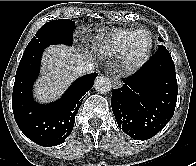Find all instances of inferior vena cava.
Here are the masks:
<instances>
[{
	"instance_id": "1",
	"label": "inferior vena cava",
	"mask_w": 196,
	"mask_h": 166,
	"mask_svg": "<svg viewBox=\"0 0 196 166\" xmlns=\"http://www.w3.org/2000/svg\"><path fill=\"white\" fill-rule=\"evenodd\" d=\"M94 64L88 61L81 62L74 70L78 75L88 74L93 72Z\"/></svg>"
}]
</instances>
